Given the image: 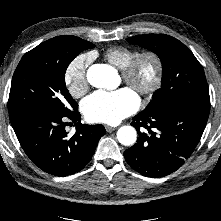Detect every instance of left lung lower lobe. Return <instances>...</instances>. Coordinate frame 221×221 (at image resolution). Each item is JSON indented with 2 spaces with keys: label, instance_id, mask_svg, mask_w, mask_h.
Returning a JSON list of instances; mask_svg holds the SVG:
<instances>
[{
  "label": "left lung lower lobe",
  "instance_id": "obj_1",
  "mask_svg": "<svg viewBox=\"0 0 221 221\" xmlns=\"http://www.w3.org/2000/svg\"><path fill=\"white\" fill-rule=\"evenodd\" d=\"M209 111L210 101L186 97L157 111L140 112L131 123L139 137L124 152L127 163L146 177H164L176 171L196 148Z\"/></svg>",
  "mask_w": 221,
  "mask_h": 221
}]
</instances>
